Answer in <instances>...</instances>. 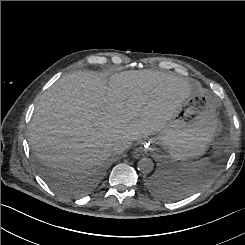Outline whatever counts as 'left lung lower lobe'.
Returning a JSON list of instances; mask_svg holds the SVG:
<instances>
[{
  "label": "left lung lower lobe",
  "instance_id": "0a47b994",
  "mask_svg": "<svg viewBox=\"0 0 245 245\" xmlns=\"http://www.w3.org/2000/svg\"><path fill=\"white\" fill-rule=\"evenodd\" d=\"M146 186L152 193L160 195L164 199L181 195L187 189V184L170 173L149 178L146 181Z\"/></svg>",
  "mask_w": 245,
  "mask_h": 245
}]
</instances>
